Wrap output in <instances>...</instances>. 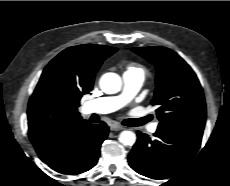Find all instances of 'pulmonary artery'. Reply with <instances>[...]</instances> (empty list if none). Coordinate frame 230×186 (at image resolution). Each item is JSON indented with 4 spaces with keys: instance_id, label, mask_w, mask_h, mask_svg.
Wrapping results in <instances>:
<instances>
[{
    "instance_id": "1",
    "label": "pulmonary artery",
    "mask_w": 230,
    "mask_h": 186,
    "mask_svg": "<svg viewBox=\"0 0 230 186\" xmlns=\"http://www.w3.org/2000/svg\"><path fill=\"white\" fill-rule=\"evenodd\" d=\"M145 80L142 72L126 71L123 73V90L119 95L90 100L85 104L88 113L106 114L114 112L126 104L138 93ZM149 131H157V123L149 127Z\"/></svg>"
}]
</instances>
